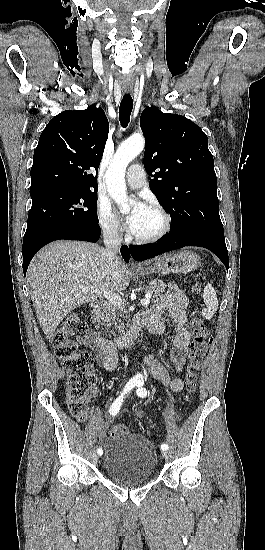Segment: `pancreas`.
Returning <instances> with one entry per match:
<instances>
[{
  "mask_svg": "<svg viewBox=\"0 0 265 550\" xmlns=\"http://www.w3.org/2000/svg\"><path fill=\"white\" fill-rule=\"evenodd\" d=\"M165 288V283H163L162 281L153 280L146 285L145 291L147 293H150L152 295V301L156 302L163 296ZM124 312V303L121 305H116L111 302H106L104 303L100 311H98L96 316L98 322H100L102 325L110 327L111 324H114L119 333H123L124 325L121 323V318L124 316Z\"/></svg>",
  "mask_w": 265,
  "mask_h": 550,
  "instance_id": "pancreas-1",
  "label": "pancreas"
}]
</instances>
